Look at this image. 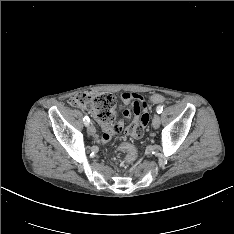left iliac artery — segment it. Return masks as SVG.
Here are the masks:
<instances>
[{
    "label": "left iliac artery",
    "instance_id": "1",
    "mask_svg": "<svg viewBox=\"0 0 234 234\" xmlns=\"http://www.w3.org/2000/svg\"><path fill=\"white\" fill-rule=\"evenodd\" d=\"M162 110H163V106H161V105L157 106L156 112H157L158 114H160V113L162 112Z\"/></svg>",
    "mask_w": 234,
    "mask_h": 234
}]
</instances>
